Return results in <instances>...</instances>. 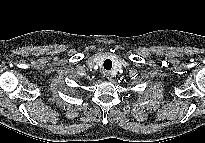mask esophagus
<instances>
[{"mask_svg":"<svg viewBox=\"0 0 205 143\" xmlns=\"http://www.w3.org/2000/svg\"><path fill=\"white\" fill-rule=\"evenodd\" d=\"M106 78L111 81L112 80V76L110 72H106Z\"/></svg>","mask_w":205,"mask_h":143,"instance_id":"obj_1","label":"esophagus"}]
</instances>
